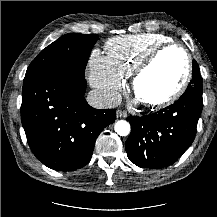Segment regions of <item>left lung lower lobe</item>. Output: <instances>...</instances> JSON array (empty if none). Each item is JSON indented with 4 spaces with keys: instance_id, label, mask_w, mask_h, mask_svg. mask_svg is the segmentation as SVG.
Returning <instances> with one entry per match:
<instances>
[{
    "instance_id": "0a47b994",
    "label": "left lung lower lobe",
    "mask_w": 217,
    "mask_h": 217,
    "mask_svg": "<svg viewBox=\"0 0 217 217\" xmlns=\"http://www.w3.org/2000/svg\"><path fill=\"white\" fill-rule=\"evenodd\" d=\"M202 107V94L187 90L158 113L130 116L131 133L125 143L130 161L142 168L172 165L192 144Z\"/></svg>"
}]
</instances>
